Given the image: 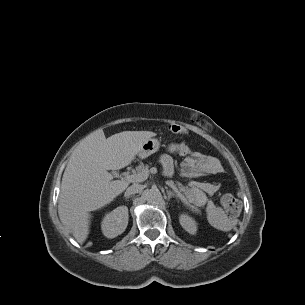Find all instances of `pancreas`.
<instances>
[{"mask_svg":"<svg viewBox=\"0 0 305 305\" xmlns=\"http://www.w3.org/2000/svg\"><path fill=\"white\" fill-rule=\"evenodd\" d=\"M149 165L140 163L137 167L136 170L134 171L135 173H140L144 170H148ZM171 187H173L176 191H180L184 193V196L180 195V197L186 202V203H192L196 206H204L208 202V198L206 194L200 189L202 187V184L200 183H193L191 188L183 186L181 183L176 182L174 183L172 180L167 183ZM177 186V187H176ZM178 191V192H179Z\"/></svg>","mask_w":305,"mask_h":305,"instance_id":"obj_1","label":"pancreas"}]
</instances>
